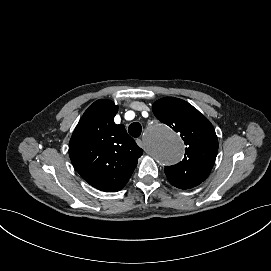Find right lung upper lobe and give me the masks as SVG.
Wrapping results in <instances>:
<instances>
[{
	"label": "right lung upper lobe",
	"mask_w": 271,
	"mask_h": 271,
	"mask_svg": "<svg viewBox=\"0 0 271 271\" xmlns=\"http://www.w3.org/2000/svg\"><path fill=\"white\" fill-rule=\"evenodd\" d=\"M117 111L110 100L94 102L69 142L75 169L91 186L105 192H117L126 185L143 153L124 125L114 123Z\"/></svg>",
	"instance_id": "cb5924a9"
}]
</instances>
